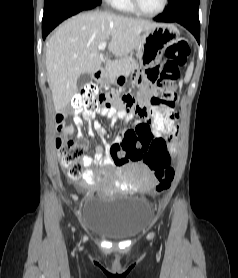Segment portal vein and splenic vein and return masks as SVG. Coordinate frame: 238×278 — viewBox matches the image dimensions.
Returning <instances> with one entry per match:
<instances>
[{
  "label": "portal vein and splenic vein",
  "instance_id": "1",
  "mask_svg": "<svg viewBox=\"0 0 238 278\" xmlns=\"http://www.w3.org/2000/svg\"><path fill=\"white\" fill-rule=\"evenodd\" d=\"M106 46H107V43L106 42H102V43H100L98 45V50L102 51V50H104L106 48Z\"/></svg>",
  "mask_w": 238,
  "mask_h": 278
}]
</instances>
